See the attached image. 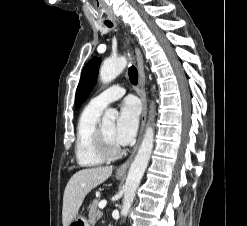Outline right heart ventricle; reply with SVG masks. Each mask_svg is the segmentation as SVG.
I'll return each mask as SVG.
<instances>
[{
	"label": "right heart ventricle",
	"mask_w": 247,
	"mask_h": 226,
	"mask_svg": "<svg viewBox=\"0 0 247 226\" xmlns=\"http://www.w3.org/2000/svg\"><path fill=\"white\" fill-rule=\"evenodd\" d=\"M101 110L90 105L82 111L76 132L75 155L77 163L82 167H93L101 164L104 160L96 153L93 138Z\"/></svg>",
	"instance_id": "e07e8e85"
}]
</instances>
